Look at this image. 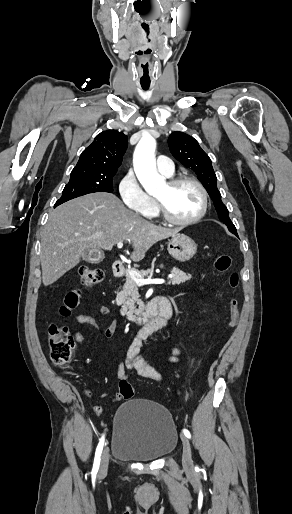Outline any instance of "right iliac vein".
<instances>
[{
  "label": "right iliac vein",
  "mask_w": 292,
  "mask_h": 514,
  "mask_svg": "<svg viewBox=\"0 0 292 514\" xmlns=\"http://www.w3.org/2000/svg\"><path fill=\"white\" fill-rule=\"evenodd\" d=\"M109 458H110L109 449L107 447V448L104 449L103 455H102L100 471H99V475L101 477L106 475V473H107L108 465H109Z\"/></svg>",
  "instance_id": "1"
}]
</instances>
